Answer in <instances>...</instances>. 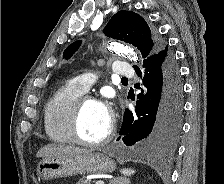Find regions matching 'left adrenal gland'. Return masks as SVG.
Returning <instances> with one entry per match:
<instances>
[{"instance_id": "1", "label": "left adrenal gland", "mask_w": 224, "mask_h": 184, "mask_svg": "<svg viewBox=\"0 0 224 184\" xmlns=\"http://www.w3.org/2000/svg\"><path fill=\"white\" fill-rule=\"evenodd\" d=\"M129 183H130V180L127 179L126 177H122V176L111 179L109 181V184H129Z\"/></svg>"}]
</instances>
